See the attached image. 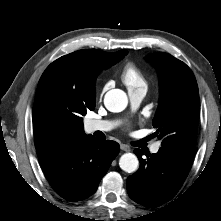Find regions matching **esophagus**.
<instances>
[{"label":"esophagus","instance_id":"34e87169","mask_svg":"<svg viewBox=\"0 0 221 221\" xmlns=\"http://www.w3.org/2000/svg\"><path fill=\"white\" fill-rule=\"evenodd\" d=\"M121 150L125 151V152H130L131 148L130 146L126 145V144H121L120 145Z\"/></svg>","mask_w":221,"mask_h":221}]
</instances>
